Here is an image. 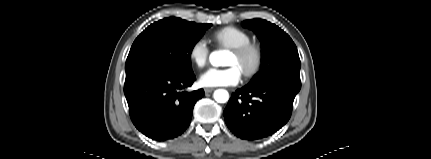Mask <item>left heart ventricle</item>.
I'll return each mask as SVG.
<instances>
[{
	"instance_id": "left-heart-ventricle-1",
	"label": "left heart ventricle",
	"mask_w": 431,
	"mask_h": 159,
	"mask_svg": "<svg viewBox=\"0 0 431 159\" xmlns=\"http://www.w3.org/2000/svg\"><path fill=\"white\" fill-rule=\"evenodd\" d=\"M226 64L228 66L235 65V66H237L242 71L243 64L238 60V58L232 52L229 54V57L227 59Z\"/></svg>"
}]
</instances>
